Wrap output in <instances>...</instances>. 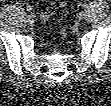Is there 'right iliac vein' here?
<instances>
[{"mask_svg":"<svg viewBox=\"0 0 111 106\" xmlns=\"http://www.w3.org/2000/svg\"><path fill=\"white\" fill-rule=\"evenodd\" d=\"M27 22H28L29 25H33L34 22H35L34 17L32 15H29L27 17Z\"/></svg>","mask_w":111,"mask_h":106,"instance_id":"obj_1","label":"right iliac vein"}]
</instances>
